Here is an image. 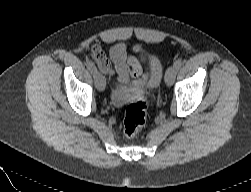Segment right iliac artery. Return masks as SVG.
<instances>
[{
  "mask_svg": "<svg viewBox=\"0 0 251 192\" xmlns=\"http://www.w3.org/2000/svg\"><path fill=\"white\" fill-rule=\"evenodd\" d=\"M87 67L90 70V72L93 74V76L97 73V68L93 61L89 60L87 62Z\"/></svg>",
  "mask_w": 251,
  "mask_h": 192,
  "instance_id": "right-iliac-artery-1",
  "label": "right iliac artery"
}]
</instances>
